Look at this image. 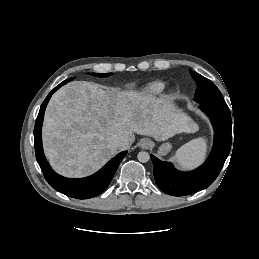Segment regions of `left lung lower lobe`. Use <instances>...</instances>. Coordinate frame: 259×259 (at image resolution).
Segmentation results:
<instances>
[{"mask_svg": "<svg viewBox=\"0 0 259 259\" xmlns=\"http://www.w3.org/2000/svg\"><path fill=\"white\" fill-rule=\"evenodd\" d=\"M200 109L209 115L214 128L213 148L202 166L190 172H180L171 163L160 161L151 155L156 184L172 196L190 195L210 186L230 152L232 121L226 102H200Z\"/></svg>", "mask_w": 259, "mask_h": 259, "instance_id": "1", "label": "left lung lower lobe"}]
</instances>
